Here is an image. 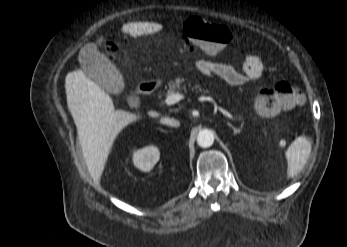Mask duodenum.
Here are the masks:
<instances>
[{
	"mask_svg": "<svg viewBox=\"0 0 347 247\" xmlns=\"http://www.w3.org/2000/svg\"><path fill=\"white\" fill-rule=\"evenodd\" d=\"M157 86H158L157 82H153V81L143 82L137 87V92L140 95H149L155 90Z\"/></svg>",
	"mask_w": 347,
	"mask_h": 247,
	"instance_id": "obj_1",
	"label": "duodenum"
}]
</instances>
